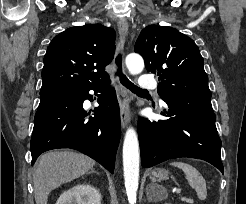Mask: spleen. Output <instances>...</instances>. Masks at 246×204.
<instances>
[{
    "mask_svg": "<svg viewBox=\"0 0 246 204\" xmlns=\"http://www.w3.org/2000/svg\"><path fill=\"white\" fill-rule=\"evenodd\" d=\"M175 167L182 169L188 180L189 185L194 188L197 192L198 198L200 200H205L207 196L206 181L201 175V173L192 165L180 161H175L170 163Z\"/></svg>",
    "mask_w": 246,
    "mask_h": 204,
    "instance_id": "spleen-1",
    "label": "spleen"
}]
</instances>
